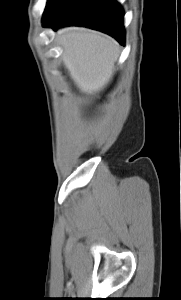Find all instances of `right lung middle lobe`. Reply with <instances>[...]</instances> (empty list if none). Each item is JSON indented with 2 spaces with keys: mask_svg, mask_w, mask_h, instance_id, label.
I'll list each match as a JSON object with an SVG mask.
<instances>
[{
  "mask_svg": "<svg viewBox=\"0 0 181 300\" xmlns=\"http://www.w3.org/2000/svg\"><path fill=\"white\" fill-rule=\"evenodd\" d=\"M64 0H47V4L45 7L44 15L48 14L52 10H54L57 6H59Z\"/></svg>",
  "mask_w": 181,
  "mask_h": 300,
  "instance_id": "right-lung-middle-lobe-1",
  "label": "right lung middle lobe"
}]
</instances>
